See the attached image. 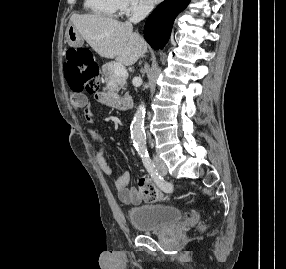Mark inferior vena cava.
<instances>
[{"instance_id":"inferior-vena-cava-1","label":"inferior vena cava","mask_w":286,"mask_h":269,"mask_svg":"<svg viewBox=\"0 0 286 269\" xmlns=\"http://www.w3.org/2000/svg\"><path fill=\"white\" fill-rule=\"evenodd\" d=\"M153 5L152 4H142L135 6L132 12L131 17L129 18V23H138L141 20H143L149 12L152 10ZM149 135V134H148ZM150 138V135H149ZM151 142V140H150Z\"/></svg>"}]
</instances>
